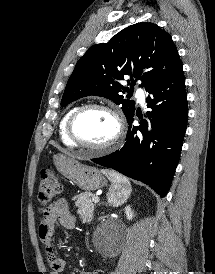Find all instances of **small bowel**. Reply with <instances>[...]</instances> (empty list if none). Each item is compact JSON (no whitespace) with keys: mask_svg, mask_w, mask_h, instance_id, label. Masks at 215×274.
<instances>
[{"mask_svg":"<svg viewBox=\"0 0 215 274\" xmlns=\"http://www.w3.org/2000/svg\"><path fill=\"white\" fill-rule=\"evenodd\" d=\"M60 223L66 229H74L77 220L71 213L65 199H59L44 213L43 220L39 225V237L46 248L47 259L51 268L50 274H60L66 266L63 258L56 255L53 249L56 224ZM101 270L87 271L82 274H99Z\"/></svg>","mask_w":215,"mask_h":274,"instance_id":"small-bowel-1","label":"small bowel"}]
</instances>
